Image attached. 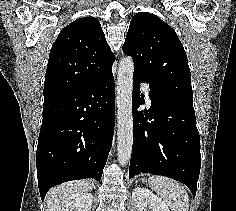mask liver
I'll list each match as a JSON object with an SVG mask.
<instances>
[{"mask_svg":"<svg viewBox=\"0 0 236 211\" xmlns=\"http://www.w3.org/2000/svg\"><path fill=\"white\" fill-rule=\"evenodd\" d=\"M92 185L88 180L66 182L49 190L45 197L47 211H62V208L79 196L88 193Z\"/></svg>","mask_w":236,"mask_h":211,"instance_id":"liver-1","label":"liver"}]
</instances>
